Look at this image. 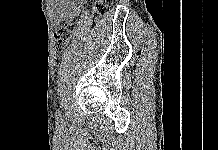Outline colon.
Wrapping results in <instances>:
<instances>
[{
	"instance_id": "obj_1",
	"label": "colon",
	"mask_w": 218,
	"mask_h": 150,
	"mask_svg": "<svg viewBox=\"0 0 218 150\" xmlns=\"http://www.w3.org/2000/svg\"><path fill=\"white\" fill-rule=\"evenodd\" d=\"M113 5V0H96L93 6V15L95 17L105 15ZM75 30V25L71 21L60 22L54 33V46L57 51L65 49Z\"/></svg>"
}]
</instances>
